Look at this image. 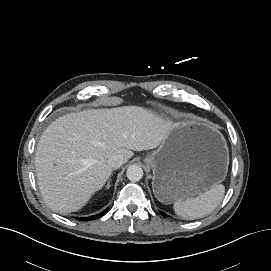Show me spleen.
Segmentation results:
<instances>
[{
	"label": "spleen",
	"mask_w": 271,
	"mask_h": 271,
	"mask_svg": "<svg viewBox=\"0 0 271 271\" xmlns=\"http://www.w3.org/2000/svg\"><path fill=\"white\" fill-rule=\"evenodd\" d=\"M224 194V185L216 183L197 197H185L176 200L174 202V211L177 215L187 220L205 217L220 204Z\"/></svg>",
	"instance_id": "obj_1"
}]
</instances>
